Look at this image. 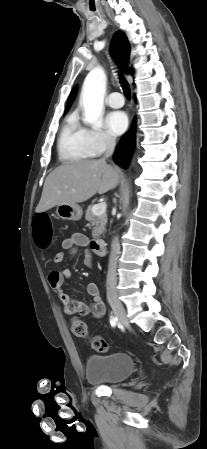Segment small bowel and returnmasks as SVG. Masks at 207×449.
I'll return each instance as SVG.
<instances>
[{
	"label": "small bowel",
	"instance_id": "1",
	"mask_svg": "<svg viewBox=\"0 0 207 449\" xmlns=\"http://www.w3.org/2000/svg\"><path fill=\"white\" fill-rule=\"evenodd\" d=\"M89 239L87 236L81 233H73L69 238L62 242V247L69 251L70 255L74 256L78 247H88ZM65 259L63 252H58L53 258V262L56 264L62 263ZM92 254L89 250H86L85 265L87 267L92 266ZM72 273L70 269L64 268L61 270H52L48 275V283L51 288L57 292L60 301L64 304V312L68 315L80 314L83 316L91 315L95 318H101L106 313V308L101 300L99 288L96 283L90 282L87 285V293L91 297V304L88 305L76 298L71 297L64 291V281L70 279Z\"/></svg>",
	"mask_w": 207,
	"mask_h": 449
}]
</instances>
